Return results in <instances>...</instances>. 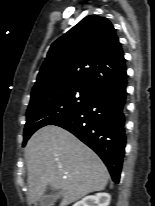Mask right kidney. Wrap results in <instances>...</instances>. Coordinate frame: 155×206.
<instances>
[{
  "label": "right kidney",
  "instance_id": "ca27d5eb",
  "mask_svg": "<svg viewBox=\"0 0 155 206\" xmlns=\"http://www.w3.org/2000/svg\"><path fill=\"white\" fill-rule=\"evenodd\" d=\"M111 196L108 193H97L84 197L73 206H109Z\"/></svg>",
  "mask_w": 155,
  "mask_h": 206
}]
</instances>
